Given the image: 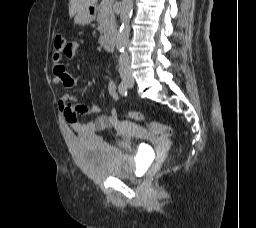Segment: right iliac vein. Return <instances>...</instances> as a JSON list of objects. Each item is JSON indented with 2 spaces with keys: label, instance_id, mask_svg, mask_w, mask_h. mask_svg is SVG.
<instances>
[{
  "label": "right iliac vein",
  "instance_id": "obj_1",
  "mask_svg": "<svg viewBox=\"0 0 256 228\" xmlns=\"http://www.w3.org/2000/svg\"><path fill=\"white\" fill-rule=\"evenodd\" d=\"M123 81H124L126 84H128L129 81H130V78H129L128 76H124V77H123Z\"/></svg>",
  "mask_w": 256,
  "mask_h": 228
}]
</instances>
